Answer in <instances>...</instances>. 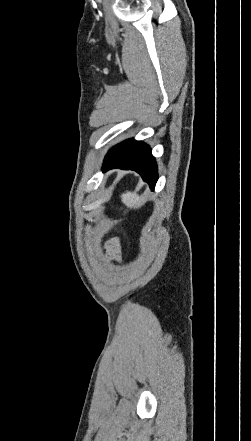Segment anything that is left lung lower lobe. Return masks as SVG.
Masks as SVG:
<instances>
[{
    "mask_svg": "<svg viewBox=\"0 0 251 441\" xmlns=\"http://www.w3.org/2000/svg\"><path fill=\"white\" fill-rule=\"evenodd\" d=\"M135 170L154 189L158 179L157 165L148 145L128 139L114 146L106 155L103 170Z\"/></svg>",
    "mask_w": 251,
    "mask_h": 441,
    "instance_id": "left-lung-lower-lobe-1",
    "label": "left lung lower lobe"
}]
</instances>
